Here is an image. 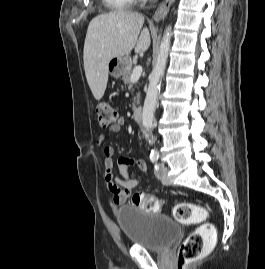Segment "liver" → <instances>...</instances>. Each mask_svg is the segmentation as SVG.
<instances>
[{"label":"liver","instance_id":"liver-1","mask_svg":"<svg viewBox=\"0 0 265 269\" xmlns=\"http://www.w3.org/2000/svg\"><path fill=\"white\" fill-rule=\"evenodd\" d=\"M143 15L126 10L100 14L89 23L84 43L83 60L88 85L100 100L108 82V63L114 57L148 50L151 39L143 28Z\"/></svg>","mask_w":265,"mask_h":269}]
</instances>
